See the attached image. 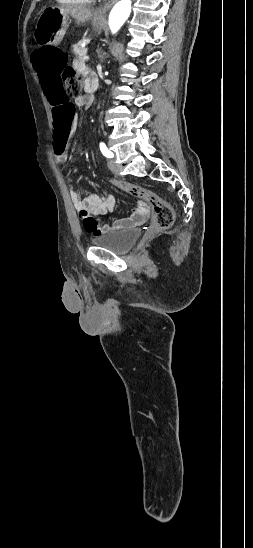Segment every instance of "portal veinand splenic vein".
Here are the masks:
<instances>
[{"instance_id":"obj_1","label":"portal vein and splenic vein","mask_w":253,"mask_h":548,"mask_svg":"<svg viewBox=\"0 0 253 548\" xmlns=\"http://www.w3.org/2000/svg\"><path fill=\"white\" fill-rule=\"evenodd\" d=\"M83 60H89V56L85 55V56L83 57Z\"/></svg>"}]
</instances>
